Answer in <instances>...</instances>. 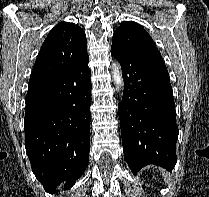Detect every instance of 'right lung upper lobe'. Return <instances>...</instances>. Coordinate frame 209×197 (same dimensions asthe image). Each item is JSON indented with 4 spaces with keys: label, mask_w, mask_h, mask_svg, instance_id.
I'll use <instances>...</instances> for the list:
<instances>
[{
    "label": "right lung upper lobe",
    "mask_w": 209,
    "mask_h": 197,
    "mask_svg": "<svg viewBox=\"0 0 209 197\" xmlns=\"http://www.w3.org/2000/svg\"><path fill=\"white\" fill-rule=\"evenodd\" d=\"M86 55L85 32L74 23L57 24L49 32L40 49L28 86L66 71Z\"/></svg>",
    "instance_id": "cb5924a9"
}]
</instances>
